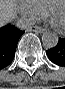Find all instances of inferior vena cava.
<instances>
[{
	"instance_id": "602c4592",
	"label": "inferior vena cava",
	"mask_w": 65,
	"mask_h": 89,
	"mask_svg": "<svg viewBox=\"0 0 65 89\" xmlns=\"http://www.w3.org/2000/svg\"><path fill=\"white\" fill-rule=\"evenodd\" d=\"M34 23L35 21L30 18L21 17L17 22V27L20 29H28Z\"/></svg>"
}]
</instances>
